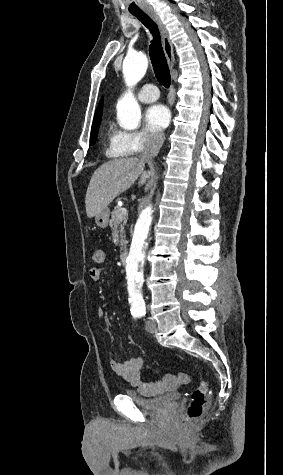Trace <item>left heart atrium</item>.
<instances>
[{
	"mask_svg": "<svg viewBox=\"0 0 283 475\" xmlns=\"http://www.w3.org/2000/svg\"><path fill=\"white\" fill-rule=\"evenodd\" d=\"M145 120L150 129L162 131L170 124L171 113L165 105L155 104L147 110Z\"/></svg>",
	"mask_w": 283,
	"mask_h": 475,
	"instance_id": "39dd6f15",
	"label": "left heart atrium"
}]
</instances>
